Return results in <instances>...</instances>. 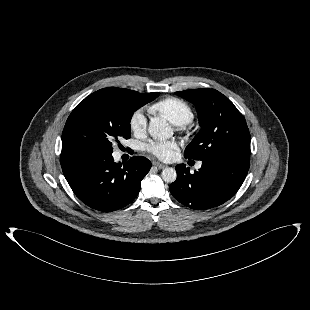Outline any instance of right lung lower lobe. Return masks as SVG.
<instances>
[{
	"label": "right lung lower lobe",
	"mask_w": 310,
	"mask_h": 310,
	"mask_svg": "<svg viewBox=\"0 0 310 310\" xmlns=\"http://www.w3.org/2000/svg\"><path fill=\"white\" fill-rule=\"evenodd\" d=\"M60 162L75 195L87 206L103 212L131 203L151 168V162L141 156H134L123 165L114 162L112 151L105 149L62 151Z\"/></svg>",
	"instance_id": "1"
}]
</instances>
